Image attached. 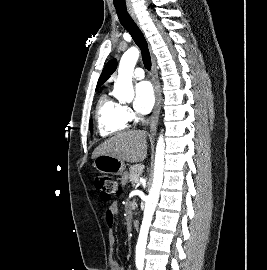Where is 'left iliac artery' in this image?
Wrapping results in <instances>:
<instances>
[{"mask_svg": "<svg viewBox=\"0 0 267 270\" xmlns=\"http://www.w3.org/2000/svg\"><path fill=\"white\" fill-rule=\"evenodd\" d=\"M138 270H143V266L138 267Z\"/></svg>", "mask_w": 267, "mask_h": 270, "instance_id": "1", "label": "left iliac artery"}]
</instances>
